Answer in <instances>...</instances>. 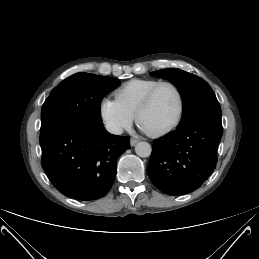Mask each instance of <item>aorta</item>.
Instances as JSON below:
<instances>
[{
    "label": "aorta",
    "mask_w": 259,
    "mask_h": 259,
    "mask_svg": "<svg viewBox=\"0 0 259 259\" xmlns=\"http://www.w3.org/2000/svg\"><path fill=\"white\" fill-rule=\"evenodd\" d=\"M135 152L139 157L147 158L151 155L152 148L148 142H139L135 146Z\"/></svg>",
    "instance_id": "1"
}]
</instances>
